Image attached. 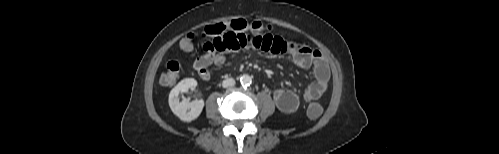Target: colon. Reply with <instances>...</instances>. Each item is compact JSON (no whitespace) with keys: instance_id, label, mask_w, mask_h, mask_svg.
<instances>
[{"instance_id":"1","label":"colon","mask_w":499,"mask_h":154,"mask_svg":"<svg viewBox=\"0 0 499 154\" xmlns=\"http://www.w3.org/2000/svg\"><path fill=\"white\" fill-rule=\"evenodd\" d=\"M269 29L270 26L264 25L259 21L248 22L244 19H234L228 22H219L206 26L201 31V36L204 38L213 39L214 37H217L227 31H238V32H243L247 30L268 31ZM194 41H195V34L188 33L179 40L178 46L181 50L189 51L193 48ZM179 73H180V64L175 60L169 61L167 63L165 72L162 74L161 82L164 85H171L177 80V78L179 77ZM322 112L323 108L319 103L312 102L308 105L307 115L311 119L319 118Z\"/></svg>"}]
</instances>
